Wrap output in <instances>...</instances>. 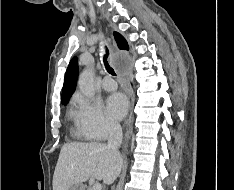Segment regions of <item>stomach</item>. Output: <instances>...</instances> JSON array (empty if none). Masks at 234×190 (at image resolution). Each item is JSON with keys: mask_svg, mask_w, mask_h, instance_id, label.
Segmentation results:
<instances>
[{"mask_svg": "<svg viewBox=\"0 0 234 190\" xmlns=\"http://www.w3.org/2000/svg\"><path fill=\"white\" fill-rule=\"evenodd\" d=\"M69 190H85V185L82 183L74 184Z\"/></svg>", "mask_w": 234, "mask_h": 190, "instance_id": "1", "label": "stomach"}]
</instances>
